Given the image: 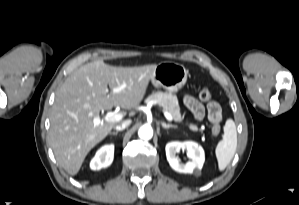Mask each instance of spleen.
<instances>
[{"label": "spleen", "instance_id": "spleen-1", "mask_svg": "<svg viewBox=\"0 0 299 205\" xmlns=\"http://www.w3.org/2000/svg\"><path fill=\"white\" fill-rule=\"evenodd\" d=\"M236 148H237L236 125L232 119H228L224 126L223 139L219 141L215 149L219 171L225 170V168L229 165L236 152Z\"/></svg>", "mask_w": 299, "mask_h": 205}]
</instances>
